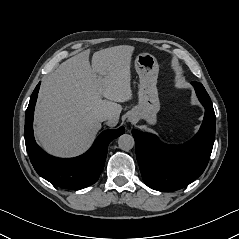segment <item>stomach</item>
I'll list each match as a JSON object with an SVG mask.
<instances>
[{
  "mask_svg": "<svg viewBox=\"0 0 239 239\" xmlns=\"http://www.w3.org/2000/svg\"><path fill=\"white\" fill-rule=\"evenodd\" d=\"M135 69L139 75L138 104L130 111L129 119L137 122L144 119L154 125L160 110L156 87L159 73L157 59L149 53H141L135 59Z\"/></svg>",
  "mask_w": 239,
  "mask_h": 239,
  "instance_id": "obj_1",
  "label": "stomach"
}]
</instances>
